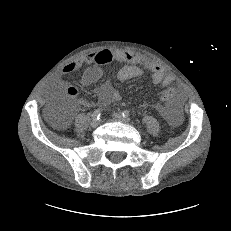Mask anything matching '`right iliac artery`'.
<instances>
[{
	"instance_id": "1",
	"label": "right iliac artery",
	"mask_w": 231,
	"mask_h": 231,
	"mask_svg": "<svg viewBox=\"0 0 231 231\" xmlns=\"http://www.w3.org/2000/svg\"><path fill=\"white\" fill-rule=\"evenodd\" d=\"M100 115H101V110H100V109H96V110L93 112V114H92V118H93V119H99Z\"/></svg>"
}]
</instances>
